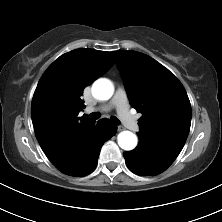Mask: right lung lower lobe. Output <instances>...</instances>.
Here are the masks:
<instances>
[{
    "mask_svg": "<svg viewBox=\"0 0 222 222\" xmlns=\"http://www.w3.org/2000/svg\"><path fill=\"white\" fill-rule=\"evenodd\" d=\"M94 123L86 133L80 156L72 166L59 169L62 173L70 176H86L96 168L102 145L116 133L117 127L108 119Z\"/></svg>",
    "mask_w": 222,
    "mask_h": 222,
    "instance_id": "98d812e1",
    "label": "right lung lower lobe"
}]
</instances>
